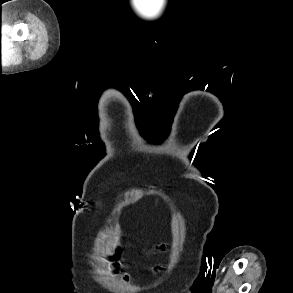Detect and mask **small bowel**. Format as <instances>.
Instances as JSON below:
<instances>
[{
    "label": "small bowel",
    "mask_w": 293,
    "mask_h": 293,
    "mask_svg": "<svg viewBox=\"0 0 293 293\" xmlns=\"http://www.w3.org/2000/svg\"><path fill=\"white\" fill-rule=\"evenodd\" d=\"M169 248V245L167 243H159L153 246L149 251L150 252H165ZM108 265L113 271H119L122 267V263L120 261V255L118 250L112 251V254L110 255V259L108 260ZM161 271V267L157 266L154 268V273L158 274ZM125 279H127V275L124 276Z\"/></svg>",
    "instance_id": "c3829d8e"
}]
</instances>
